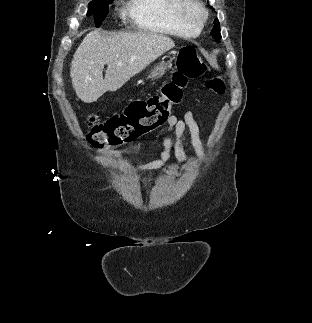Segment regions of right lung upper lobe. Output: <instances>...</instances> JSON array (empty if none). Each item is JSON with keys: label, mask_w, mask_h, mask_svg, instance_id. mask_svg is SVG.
Returning <instances> with one entry per match:
<instances>
[{"label": "right lung upper lobe", "mask_w": 312, "mask_h": 323, "mask_svg": "<svg viewBox=\"0 0 312 323\" xmlns=\"http://www.w3.org/2000/svg\"><path fill=\"white\" fill-rule=\"evenodd\" d=\"M93 1H98V2H107L109 0H93Z\"/></svg>", "instance_id": "cb5924a9"}]
</instances>
